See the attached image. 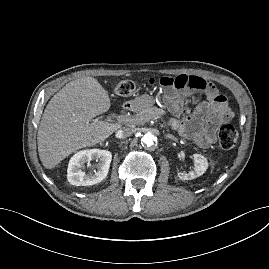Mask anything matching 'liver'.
<instances>
[{"mask_svg": "<svg viewBox=\"0 0 269 269\" xmlns=\"http://www.w3.org/2000/svg\"><path fill=\"white\" fill-rule=\"evenodd\" d=\"M111 106L108 92L93 77L66 84L47 104L37 134L43 166L52 169L68 155L94 146L120 128V124L98 121L97 115Z\"/></svg>", "mask_w": 269, "mask_h": 269, "instance_id": "1", "label": "liver"}]
</instances>
